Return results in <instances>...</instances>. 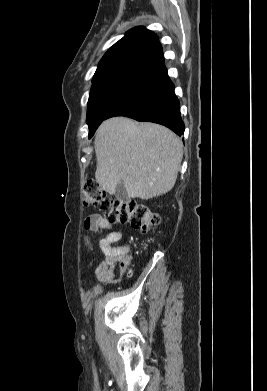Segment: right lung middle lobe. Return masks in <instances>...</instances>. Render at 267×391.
<instances>
[{
	"instance_id": "1",
	"label": "right lung middle lobe",
	"mask_w": 267,
	"mask_h": 391,
	"mask_svg": "<svg viewBox=\"0 0 267 391\" xmlns=\"http://www.w3.org/2000/svg\"><path fill=\"white\" fill-rule=\"evenodd\" d=\"M151 79L146 75L119 73L93 80L87 108L89 138L116 106Z\"/></svg>"
}]
</instances>
